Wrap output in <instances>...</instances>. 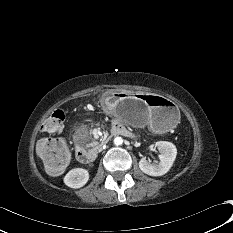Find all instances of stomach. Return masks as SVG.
<instances>
[{"label": "stomach", "instance_id": "stomach-1", "mask_svg": "<svg viewBox=\"0 0 233 233\" xmlns=\"http://www.w3.org/2000/svg\"><path fill=\"white\" fill-rule=\"evenodd\" d=\"M106 111L120 121L134 127L149 126L158 133L173 128L180 111L170 99L156 94H128L116 92L103 101Z\"/></svg>", "mask_w": 233, "mask_h": 233}]
</instances>
